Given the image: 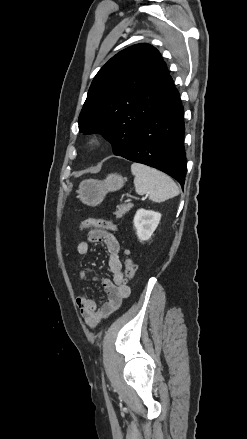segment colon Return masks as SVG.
Here are the masks:
<instances>
[{
    "mask_svg": "<svg viewBox=\"0 0 247 439\" xmlns=\"http://www.w3.org/2000/svg\"><path fill=\"white\" fill-rule=\"evenodd\" d=\"M90 227L116 230V226L112 222L102 219H93V218L82 221L79 226V229L84 230ZM126 254L128 255L129 251H126ZM135 271H136V266L133 260L130 257H127L125 259L124 280L126 282L131 280L135 275Z\"/></svg>",
    "mask_w": 247,
    "mask_h": 439,
    "instance_id": "obj_1",
    "label": "colon"
}]
</instances>
